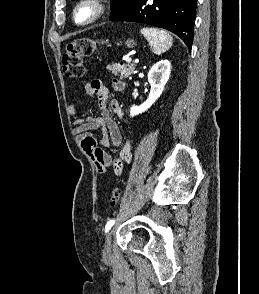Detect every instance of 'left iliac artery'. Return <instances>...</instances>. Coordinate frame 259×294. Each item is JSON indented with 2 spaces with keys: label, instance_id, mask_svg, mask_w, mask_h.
<instances>
[{
  "label": "left iliac artery",
  "instance_id": "1",
  "mask_svg": "<svg viewBox=\"0 0 259 294\" xmlns=\"http://www.w3.org/2000/svg\"><path fill=\"white\" fill-rule=\"evenodd\" d=\"M115 223V220L114 219H111L107 222L106 226H105V233H107L111 227L114 225Z\"/></svg>",
  "mask_w": 259,
  "mask_h": 294
}]
</instances>
